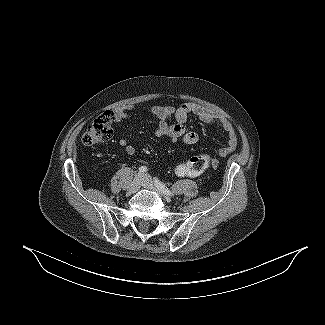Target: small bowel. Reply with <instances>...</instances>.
Masks as SVG:
<instances>
[{
	"label": "small bowel",
	"instance_id": "1",
	"mask_svg": "<svg viewBox=\"0 0 325 325\" xmlns=\"http://www.w3.org/2000/svg\"><path fill=\"white\" fill-rule=\"evenodd\" d=\"M132 109V105L117 108L113 112L115 121L121 122L129 119L132 116L130 113ZM148 111L158 119V126L155 132L157 137H167L172 142L181 141L186 145L198 143L199 135L194 131H189L186 127L188 117L194 115L207 124L219 122L222 129L227 133V146L219 150L220 155L229 154L237 147L238 139L232 124L221 119L213 111L204 106L193 103H185L177 107L150 106L148 107ZM170 119H174L175 123L170 125ZM119 145L129 155H134L136 153L135 147L126 139H120ZM210 165L216 167V161L211 160ZM189 176L192 177L196 175Z\"/></svg>",
	"mask_w": 325,
	"mask_h": 325
}]
</instances>
